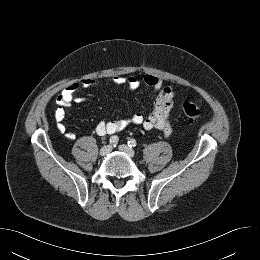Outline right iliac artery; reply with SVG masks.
<instances>
[{
	"instance_id": "1",
	"label": "right iliac artery",
	"mask_w": 260,
	"mask_h": 260,
	"mask_svg": "<svg viewBox=\"0 0 260 260\" xmlns=\"http://www.w3.org/2000/svg\"><path fill=\"white\" fill-rule=\"evenodd\" d=\"M118 141H119V138L117 136H112L110 138L109 142H110L111 145H113L115 147L117 145Z\"/></svg>"
}]
</instances>
